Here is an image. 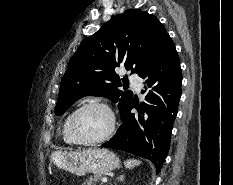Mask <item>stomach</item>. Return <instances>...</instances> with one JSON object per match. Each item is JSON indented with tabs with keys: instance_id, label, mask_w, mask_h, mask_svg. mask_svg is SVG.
<instances>
[{
	"instance_id": "1",
	"label": "stomach",
	"mask_w": 233,
	"mask_h": 185,
	"mask_svg": "<svg viewBox=\"0 0 233 185\" xmlns=\"http://www.w3.org/2000/svg\"><path fill=\"white\" fill-rule=\"evenodd\" d=\"M51 160L58 168L78 176L86 173L106 174L119 166L116 154L105 148L55 151L51 155Z\"/></svg>"
}]
</instances>
